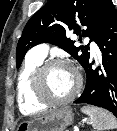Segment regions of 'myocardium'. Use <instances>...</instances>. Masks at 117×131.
<instances>
[{"label": "myocardium", "instance_id": "f54148a6", "mask_svg": "<svg viewBox=\"0 0 117 131\" xmlns=\"http://www.w3.org/2000/svg\"><path fill=\"white\" fill-rule=\"evenodd\" d=\"M64 66L68 67L76 75L77 83L73 92L64 98H53L51 97L46 89V74L47 72L55 67ZM83 85L82 76L80 73L73 68L68 62L60 59H52L43 62L35 71L32 81V91L35 98L45 105H64L73 101L81 92Z\"/></svg>", "mask_w": 117, "mask_h": 131}]
</instances>
